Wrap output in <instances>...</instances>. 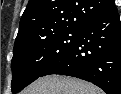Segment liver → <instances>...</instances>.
Masks as SVG:
<instances>
[{
    "label": "liver",
    "instance_id": "liver-1",
    "mask_svg": "<svg viewBox=\"0 0 121 94\" xmlns=\"http://www.w3.org/2000/svg\"><path fill=\"white\" fill-rule=\"evenodd\" d=\"M21 94H104L97 86L72 77L49 75L39 78Z\"/></svg>",
    "mask_w": 121,
    "mask_h": 94
}]
</instances>
